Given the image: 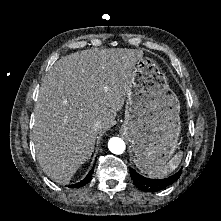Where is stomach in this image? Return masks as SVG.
<instances>
[{
    "label": "stomach",
    "mask_w": 221,
    "mask_h": 221,
    "mask_svg": "<svg viewBox=\"0 0 221 221\" xmlns=\"http://www.w3.org/2000/svg\"><path fill=\"white\" fill-rule=\"evenodd\" d=\"M179 112V100L159 64L149 57L138 59L129 80L121 131L142 172L164 165L178 148Z\"/></svg>",
    "instance_id": "1"
}]
</instances>
